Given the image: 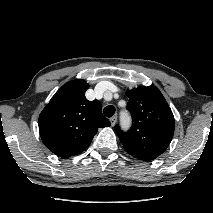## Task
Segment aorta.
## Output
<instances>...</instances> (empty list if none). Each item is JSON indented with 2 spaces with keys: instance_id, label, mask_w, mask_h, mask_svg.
<instances>
[{
  "instance_id": "1",
  "label": "aorta",
  "mask_w": 213,
  "mask_h": 213,
  "mask_svg": "<svg viewBox=\"0 0 213 213\" xmlns=\"http://www.w3.org/2000/svg\"><path fill=\"white\" fill-rule=\"evenodd\" d=\"M122 122H123L122 124L125 127H127L129 125V119L127 117H125V116L122 118Z\"/></svg>"
}]
</instances>
